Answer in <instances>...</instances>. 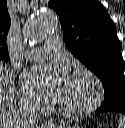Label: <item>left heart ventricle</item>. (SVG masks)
<instances>
[{
    "mask_svg": "<svg viewBox=\"0 0 125 128\" xmlns=\"http://www.w3.org/2000/svg\"><path fill=\"white\" fill-rule=\"evenodd\" d=\"M93 96V86L85 78L70 76L61 106L74 109L85 105Z\"/></svg>",
    "mask_w": 125,
    "mask_h": 128,
    "instance_id": "left-heart-ventricle-1",
    "label": "left heart ventricle"
}]
</instances>
